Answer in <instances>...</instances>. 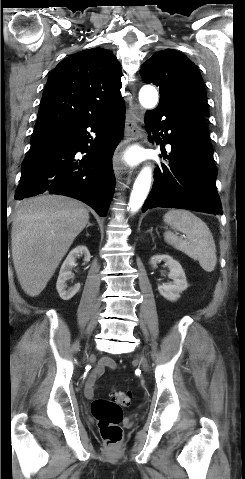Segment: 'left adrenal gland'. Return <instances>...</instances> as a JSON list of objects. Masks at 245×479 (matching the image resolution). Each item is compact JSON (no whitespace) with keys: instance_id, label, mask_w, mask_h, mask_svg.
<instances>
[{"instance_id":"a2214340","label":"left adrenal gland","mask_w":245,"mask_h":479,"mask_svg":"<svg viewBox=\"0 0 245 479\" xmlns=\"http://www.w3.org/2000/svg\"><path fill=\"white\" fill-rule=\"evenodd\" d=\"M152 231H153L152 228L148 231L151 234V236L153 235Z\"/></svg>"}]
</instances>
